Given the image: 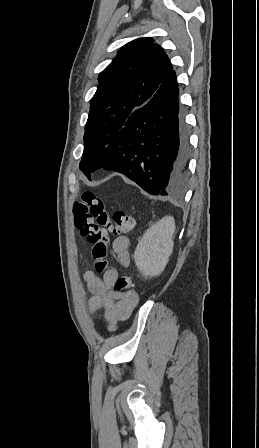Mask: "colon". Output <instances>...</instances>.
<instances>
[{
  "label": "colon",
  "mask_w": 259,
  "mask_h": 448,
  "mask_svg": "<svg viewBox=\"0 0 259 448\" xmlns=\"http://www.w3.org/2000/svg\"><path fill=\"white\" fill-rule=\"evenodd\" d=\"M75 227L91 245L90 257L96 274H103L109 267L107 260L109 234L123 235L135 226L131 214L116 211L110 215L101 198L92 191L82 193L73 205ZM132 280L127 275H120L114 288L121 292H131Z\"/></svg>",
  "instance_id": "1"
}]
</instances>
